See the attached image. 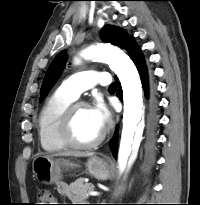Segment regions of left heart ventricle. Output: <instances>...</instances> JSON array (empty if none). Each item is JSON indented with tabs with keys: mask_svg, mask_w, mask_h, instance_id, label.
<instances>
[{
	"mask_svg": "<svg viewBox=\"0 0 200 205\" xmlns=\"http://www.w3.org/2000/svg\"><path fill=\"white\" fill-rule=\"evenodd\" d=\"M101 131L102 129L97 125L89 108L77 109L73 121V135L77 141L84 143L93 141Z\"/></svg>",
	"mask_w": 200,
	"mask_h": 205,
	"instance_id": "1",
	"label": "left heart ventricle"
}]
</instances>
